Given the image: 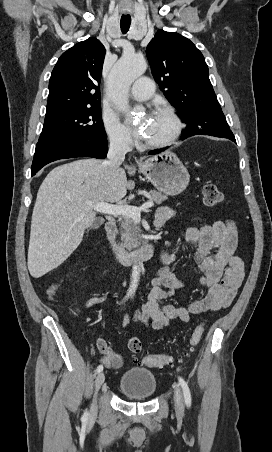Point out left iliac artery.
Listing matches in <instances>:
<instances>
[{"mask_svg":"<svg viewBox=\"0 0 272 452\" xmlns=\"http://www.w3.org/2000/svg\"><path fill=\"white\" fill-rule=\"evenodd\" d=\"M178 379H179V383L183 389L185 403L188 407H190L191 406V393H190L189 387H188L186 381L182 377L179 376Z\"/></svg>","mask_w":272,"mask_h":452,"instance_id":"1","label":"left iliac artery"}]
</instances>
